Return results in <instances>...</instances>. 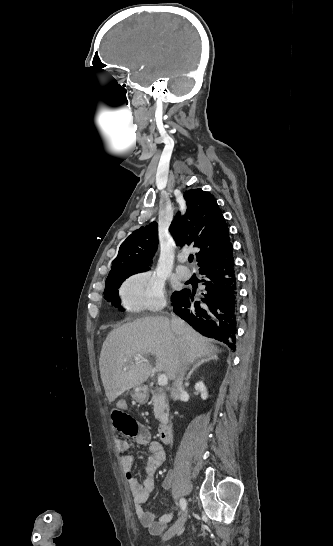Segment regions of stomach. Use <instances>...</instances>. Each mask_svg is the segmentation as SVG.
<instances>
[{
  "mask_svg": "<svg viewBox=\"0 0 333 546\" xmlns=\"http://www.w3.org/2000/svg\"><path fill=\"white\" fill-rule=\"evenodd\" d=\"M130 394L137 403L143 404L147 400V390L141 385L135 386Z\"/></svg>",
  "mask_w": 333,
  "mask_h": 546,
  "instance_id": "0dacf381",
  "label": "stomach"
}]
</instances>
